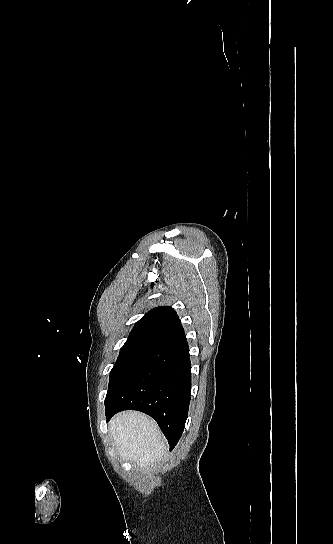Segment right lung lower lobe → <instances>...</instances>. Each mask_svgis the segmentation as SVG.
<instances>
[{"label": "right lung lower lobe", "instance_id": "98d812e1", "mask_svg": "<svg viewBox=\"0 0 333 544\" xmlns=\"http://www.w3.org/2000/svg\"><path fill=\"white\" fill-rule=\"evenodd\" d=\"M190 391L189 347L182 335L151 349L123 387L105 404L106 420L123 410L144 412L156 420L172 450L185 427Z\"/></svg>", "mask_w": 333, "mask_h": 544}]
</instances>
